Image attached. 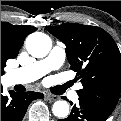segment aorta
<instances>
[{
    "label": "aorta",
    "instance_id": "aorta-1",
    "mask_svg": "<svg viewBox=\"0 0 121 121\" xmlns=\"http://www.w3.org/2000/svg\"><path fill=\"white\" fill-rule=\"evenodd\" d=\"M52 42L48 35L35 32L26 39V49L33 57L43 58L51 50ZM53 114L58 118H65L69 114V104L64 100L56 101L52 108Z\"/></svg>",
    "mask_w": 121,
    "mask_h": 121
}]
</instances>
